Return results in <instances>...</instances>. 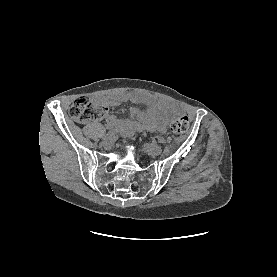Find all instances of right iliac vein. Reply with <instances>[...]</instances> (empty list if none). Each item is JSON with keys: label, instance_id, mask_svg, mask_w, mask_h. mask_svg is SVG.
Returning <instances> with one entry per match:
<instances>
[{"label": "right iliac vein", "instance_id": "right-iliac-vein-1", "mask_svg": "<svg viewBox=\"0 0 277 277\" xmlns=\"http://www.w3.org/2000/svg\"><path fill=\"white\" fill-rule=\"evenodd\" d=\"M113 143H114V138L111 136V137L105 138L101 144L104 148H110L113 145Z\"/></svg>", "mask_w": 277, "mask_h": 277}]
</instances>
